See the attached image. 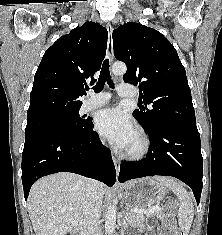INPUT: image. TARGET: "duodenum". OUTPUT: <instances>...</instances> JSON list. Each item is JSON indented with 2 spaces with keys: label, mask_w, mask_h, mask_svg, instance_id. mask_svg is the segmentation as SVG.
<instances>
[{
  "label": "duodenum",
  "mask_w": 222,
  "mask_h": 235,
  "mask_svg": "<svg viewBox=\"0 0 222 235\" xmlns=\"http://www.w3.org/2000/svg\"><path fill=\"white\" fill-rule=\"evenodd\" d=\"M71 235H84V230L80 225H78L72 230Z\"/></svg>",
  "instance_id": "duodenum-1"
}]
</instances>
